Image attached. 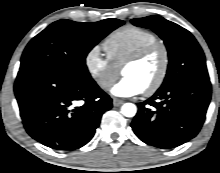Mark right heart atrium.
Listing matches in <instances>:
<instances>
[{"label": "right heart atrium", "mask_w": 220, "mask_h": 173, "mask_svg": "<svg viewBox=\"0 0 220 173\" xmlns=\"http://www.w3.org/2000/svg\"><path fill=\"white\" fill-rule=\"evenodd\" d=\"M84 66L90 78L102 90H108L119 75V68L102 54L98 46L86 52Z\"/></svg>", "instance_id": "1"}]
</instances>
